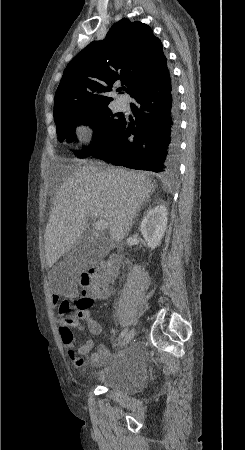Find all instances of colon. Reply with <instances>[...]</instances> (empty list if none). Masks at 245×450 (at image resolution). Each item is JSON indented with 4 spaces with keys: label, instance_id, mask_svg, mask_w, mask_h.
Segmentation results:
<instances>
[{
    "label": "colon",
    "instance_id": "obj_1",
    "mask_svg": "<svg viewBox=\"0 0 245 450\" xmlns=\"http://www.w3.org/2000/svg\"><path fill=\"white\" fill-rule=\"evenodd\" d=\"M119 260L112 256L109 260H101L90 268L81 272L79 276V285L83 292V297L78 302V308L88 309L91 307V301L88 294L94 287L105 288L110 282L116 279ZM79 315L75 306L70 300H63L59 308V329L64 341L69 342L73 339L72 328L77 322Z\"/></svg>",
    "mask_w": 245,
    "mask_h": 450
}]
</instances>
